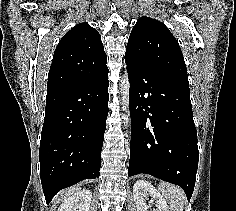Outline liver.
<instances>
[{
    "label": "liver",
    "instance_id": "1",
    "mask_svg": "<svg viewBox=\"0 0 236 211\" xmlns=\"http://www.w3.org/2000/svg\"><path fill=\"white\" fill-rule=\"evenodd\" d=\"M80 190H81V188L76 186V187H72V188L64 191L58 197L57 202H62L64 199L68 198L71 195H74L75 193L79 192Z\"/></svg>",
    "mask_w": 236,
    "mask_h": 211
}]
</instances>
